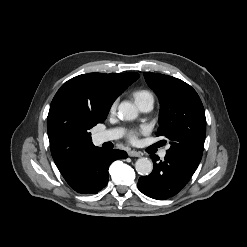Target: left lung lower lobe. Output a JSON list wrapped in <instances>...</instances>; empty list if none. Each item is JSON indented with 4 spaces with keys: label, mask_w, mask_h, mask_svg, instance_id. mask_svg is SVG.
Here are the masks:
<instances>
[{
    "label": "left lung lower lobe",
    "mask_w": 247,
    "mask_h": 247,
    "mask_svg": "<svg viewBox=\"0 0 247 247\" xmlns=\"http://www.w3.org/2000/svg\"><path fill=\"white\" fill-rule=\"evenodd\" d=\"M153 171L140 177L139 190L154 199H166L177 194L189 181L198 165L186 159L166 153L165 160L159 161L157 155H151Z\"/></svg>",
    "instance_id": "0a47b994"
}]
</instances>
